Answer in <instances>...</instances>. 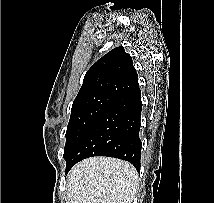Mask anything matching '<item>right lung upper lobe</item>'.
I'll use <instances>...</instances> for the list:
<instances>
[{
	"mask_svg": "<svg viewBox=\"0 0 214 203\" xmlns=\"http://www.w3.org/2000/svg\"><path fill=\"white\" fill-rule=\"evenodd\" d=\"M138 86L132 58L120 46L109 51L87 71L75 100L96 95L115 98Z\"/></svg>",
	"mask_w": 214,
	"mask_h": 203,
	"instance_id": "cb5924a9",
	"label": "right lung upper lobe"
}]
</instances>
